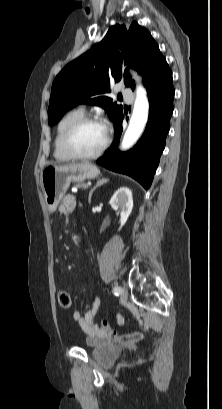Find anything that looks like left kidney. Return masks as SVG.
Returning <instances> with one entry per match:
<instances>
[{
	"instance_id": "obj_1",
	"label": "left kidney",
	"mask_w": 222,
	"mask_h": 409,
	"mask_svg": "<svg viewBox=\"0 0 222 409\" xmlns=\"http://www.w3.org/2000/svg\"><path fill=\"white\" fill-rule=\"evenodd\" d=\"M111 207L120 214V229L127 222L133 208L132 192L127 187L119 188L110 200Z\"/></svg>"
}]
</instances>
